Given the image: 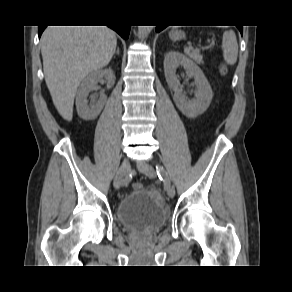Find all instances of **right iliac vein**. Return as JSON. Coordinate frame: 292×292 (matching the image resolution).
<instances>
[{
	"mask_svg": "<svg viewBox=\"0 0 292 292\" xmlns=\"http://www.w3.org/2000/svg\"><path fill=\"white\" fill-rule=\"evenodd\" d=\"M130 170V164L128 160H124L119 167L116 176L114 178V187L119 188L125 184V177L128 175Z\"/></svg>",
	"mask_w": 292,
	"mask_h": 292,
	"instance_id": "1",
	"label": "right iliac vein"
}]
</instances>
